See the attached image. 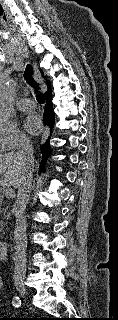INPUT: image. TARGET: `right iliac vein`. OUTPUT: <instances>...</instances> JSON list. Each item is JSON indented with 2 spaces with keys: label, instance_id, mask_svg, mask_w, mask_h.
I'll return each instance as SVG.
<instances>
[{
  "label": "right iliac vein",
  "instance_id": "1",
  "mask_svg": "<svg viewBox=\"0 0 118 320\" xmlns=\"http://www.w3.org/2000/svg\"><path fill=\"white\" fill-rule=\"evenodd\" d=\"M16 288H17V291L20 293V295H23V296L26 295V288H25L24 284L18 283L16 285Z\"/></svg>",
  "mask_w": 118,
  "mask_h": 320
}]
</instances>
